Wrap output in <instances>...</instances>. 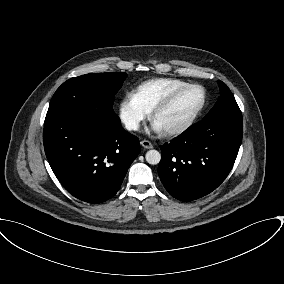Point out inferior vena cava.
Returning <instances> with one entry per match:
<instances>
[{"label":"inferior vena cava","mask_w":284,"mask_h":284,"mask_svg":"<svg viewBox=\"0 0 284 284\" xmlns=\"http://www.w3.org/2000/svg\"><path fill=\"white\" fill-rule=\"evenodd\" d=\"M126 128L128 130H138L139 124L135 120H130V121L126 122Z\"/></svg>","instance_id":"obj_1"}]
</instances>
